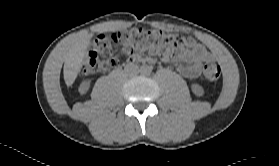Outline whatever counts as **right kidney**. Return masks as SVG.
Returning <instances> with one entry per match:
<instances>
[{"label": "right kidney", "mask_w": 279, "mask_h": 166, "mask_svg": "<svg viewBox=\"0 0 279 166\" xmlns=\"http://www.w3.org/2000/svg\"><path fill=\"white\" fill-rule=\"evenodd\" d=\"M90 86V81H83L79 87V91L81 93H86L87 90L89 89Z\"/></svg>", "instance_id": "obj_1"}]
</instances>
